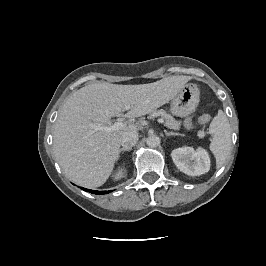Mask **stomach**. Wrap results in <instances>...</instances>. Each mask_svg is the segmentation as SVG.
I'll list each match as a JSON object with an SVG mask.
<instances>
[{
    "mask_svg": "<svg viewBox=\"0 0 266 266\" xmlns=\"http://www.w3.org/2000/svg\"><path fill=\"white\" fill-rule=\"evenodd\" d=\"M200 100V91L193 83L186 84L172 98L170 111L178 117H186L195 112Z\"/></svg>",
    "mask_w": 266,
    "mask_h": 266,
    "instance_id": "0dacf381",
    "label": "stomach"
}]
</instances>
